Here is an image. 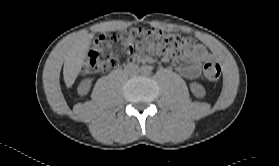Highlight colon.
Segmentation results:
<instances>
[{
    "label": "colon",
    "mask_w": 279,
    "mask_h": 166,
    "mask_svg": "<svg viewBox=\"0 0 279 166\" xmlns=\"http://www.w3.org/2000/svg\"><path fill=\"white\" fill-rule=\"evenodd\" d=\"M194 47V42L189 38L158 29L133 28L116 33H101L95 38L81 73L90 75L107 72L117 66L122 53L132 56L138 52L150 51L178 57ZM203 75L210 82L218 81L221 76L220 65L216 62L205 63Z\"/></svg>",
    "instance_id": "obj_1"
}]
</instances>
